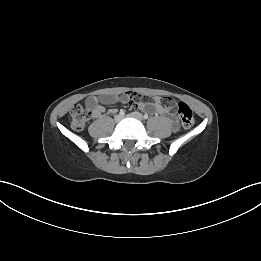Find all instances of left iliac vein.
I'll use <instances>...</instances> for the list:
<instances>
[{
	"mask_svg": "<svg viewBox=\"0 0 261 261\" xmlns=\"http://www.w3.org/2000/svg\"><path fill=\"white\" fill-rule=\"evenodd\" d=\"M128 117L135 118L139 121L143 120V116L139 112H132V113L128 114Z\"/></svg>",
	"mask_w": 261,
	"mask_h": 261,
	"instance_id": "1",
	"label": "left iliac vein"
}]
</instances>
